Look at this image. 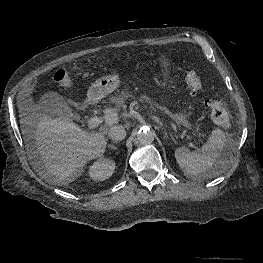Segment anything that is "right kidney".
<instances>
[{
	"label": "right kidney",
	"instance_id": "1",
	"mask_svg": "<svg viewBox=\"0 0 263 263\" xmlns=\"http://www.w3.org/2000/svg\"><path fill=\"white\" fill-rule=\"evenodd\" d=\"M115 162L108 158H100L89 168V176L95 181H104L114 172Z\"/></svg>",
	"mask_w": 263,
	"mask_h": 263
}]
</instances>
